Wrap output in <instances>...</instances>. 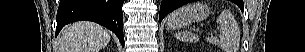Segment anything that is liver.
<instances>
[{"label":"liver","mask_w":305,"mask_h":52,"mask_svg":"<svg viewBox=\"0 0 305 52\" xmlns=\"http://www.w3.org/2000/svg\"><path fill=\"white\" fill-rule=\"evenodd\" d=\"M110 41L107 29L91 22H77L64 27L58 52H99Z\"/></svg>","instance_id":"1"}]
</instances>
